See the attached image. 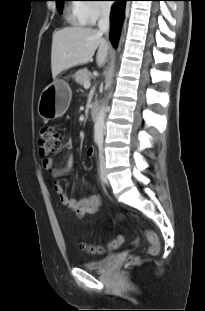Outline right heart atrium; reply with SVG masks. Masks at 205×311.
<instances>
[{"label": "right heart atrium", "mask_w": 205, "mask_h": 311, "mask_svg": "<svg viewBox=\"0 0 205 311\" xmlns=\"http://www.w3.org/2000/svg\"><path fill=\"white\" fill-rule=\"evenodd\" d=\"M98 2L101 1H92L82 5L81 11L87 23L93 24L99 19L108 16L109 8Z\"/></svg>", "instance_id": "1"}]
</instances>
